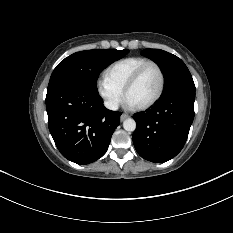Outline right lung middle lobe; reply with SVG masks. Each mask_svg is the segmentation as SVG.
<instances>
[{
  "label": "right lung middle lobe",
  "mask_w": 233,
  "mask_h": 233,
  "mask_svg": "<svg viewBox=\"0 0 233 233\" xmlns=\"http://www.w3.org/2000/svg\"><path fill=\"white\" fill-rule=\"evenodd\" d=\"M128 52L127 49H95L76 52L58 64L50 77L48 87L70 84L98 92L97 78L100 72Z\"/></svg>",
  "instance_id": "obj_1"
}]
</instances>
